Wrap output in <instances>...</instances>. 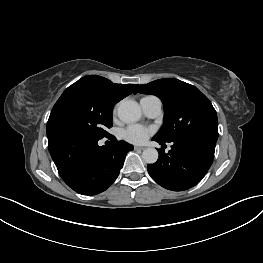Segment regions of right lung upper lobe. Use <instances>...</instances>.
Instances as JSON below:
<instances>
[{
  "label": "right lung upper lobe",
  "instance_id": "1",
  "mask_svg": "<svg viewBox=\"0 0 263 263\" xmlns=\"http://www.w3.org/2000/svg\"><path fill=\"white\" fill-rule=\"evenodd\" d=\"M138 84H116L96 75L85 76L69 86L65 91L84 89L101 97L107 102L116 104L133 91L136 93Z\"/></svg>",
  "mask_w": 263,
  "mask_h": 263
}]
</instances>
